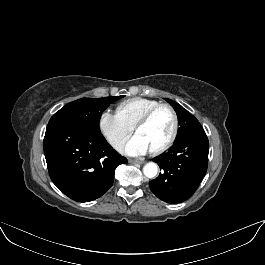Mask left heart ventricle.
Segmentation results:
<instances>
[{
  "label": "left heart ventricle",
  "mask_w": 265,
  "mask_h": 265,
  "mask_svg": "<svg viewBox=\"0 0 265 265\" xmlns=\"http://www.w3.org/2000/svg\"><path fill=\"white\" fill-rule=\"evenodd\" d=\"M173 127L172 115L168 110H160L150 121L139 127L136 134L139 135L154 150L162 145L169 137Z\"/></svg>",
  "instance_id": "1"
}]
</instances>
